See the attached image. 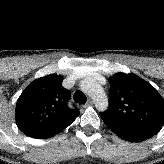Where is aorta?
<instances>
[{
  "mask_svg": "<svg viewBox=\"0 0 164 164\" xmlns=\"http://www.w3.org/2000/svg\"><path fill=\"white\" fill-rule=\"evenodd\" d=\"M81 90L89 95L95 102L99 111H105L108 107L107 96L101 85L94 79H85L81 82Z\"/></svg>",
  "mask_w": 164,
  "mask_h": 164,
  "instance_id": "1",
  "label": "aorta"
}]
</instances>
